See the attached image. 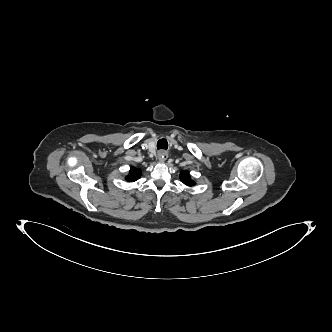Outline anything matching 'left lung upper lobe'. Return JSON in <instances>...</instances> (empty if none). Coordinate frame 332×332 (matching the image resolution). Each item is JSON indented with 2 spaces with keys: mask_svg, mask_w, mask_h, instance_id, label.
Instances as JSON below:
<instances>
[{
  "mask_svg": "<svg viewBox=\"0 0 332 332\" xmlns=\"http://www.w3.org/2000/svg\"><path fill=\"white\" fill-rule=\"evenodd\" d=\"M180 179L187 186H193L195 184L194 181L191 180L189 173L186 171L181 172Z\"/></svg>",
  "mask_w": 332,
  "mask_h": 332,
  "instance_id": "1",
  "label": "left lung upper lobe"
}]
</instances>
